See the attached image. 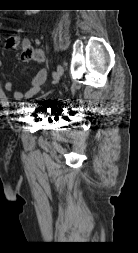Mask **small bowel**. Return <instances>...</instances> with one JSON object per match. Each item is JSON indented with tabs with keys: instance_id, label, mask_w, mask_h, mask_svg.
I'll return each mask as SVG.
<instances>
[{
	"instance_id": "c3829d8e",
	"label": "small bowel",
	"mask_w": 138,
	"mask_h": 253,
	"mask_svg": "<svg viewBox=\"0 0 138 253\" xmlns=\"http://www.w3.org/2000/svg\"><path fill=\"white\" fill-rule=\"evenodd\" d=\"M29 47L28 42H24L22 45V50ZM2 65V60L0 59V67ZM48 76V72L46 69H40L32 78L30 82L29 89L24 93L22 91L14 90V84L12 81H6L4 84V89L7 92H11L14 100H28L34 97L41 89V86L44 84Z\"/></svg>"
}]
</instances>
